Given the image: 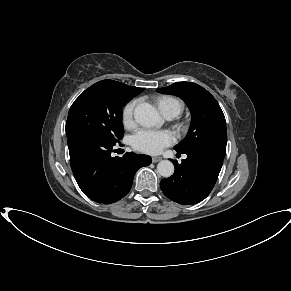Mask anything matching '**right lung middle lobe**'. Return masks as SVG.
I'll use <instances>...</instances> for the list:
<instances>
[{
  "label": "right lung middle lobe",
  "instance_id": "dd1d6c3e",
  "mask_svg": "<svg viewBox=\"0 0 291 291\" xmlns=\"http://www.w3.org/2000/svg\"><path fill=\"white\" fill-rule=\"evenodd\" d=\"M134 96L95 83L72 104L66 133L83 132L116 144L122 139V107Z\"/></svg>",
  "mask_w": 291,
  "mask_h": 291
}]
</instances>
